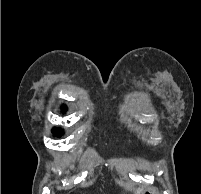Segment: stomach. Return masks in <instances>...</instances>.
<instances>
[{
	"instance_id": "stomach-1",
	"label": "stomach",
	"mask_w": 201,
	"mask_h": 194,
	"mask_svg": "<svg viewBox=\"0 0 201 194\" xmlns=\"http://www.w3.org/2000/svg\"><path fill=\"white\" fill-rule=\"evenodd\" d=\"M142 194H151V192L148 191V190H145V191L142 192Z\"/></svg>"
}]
</instances>
